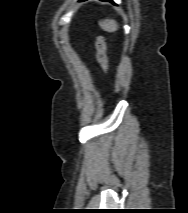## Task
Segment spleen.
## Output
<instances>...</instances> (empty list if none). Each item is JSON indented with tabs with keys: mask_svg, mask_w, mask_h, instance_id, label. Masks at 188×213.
Listing matches in <instances>:
<instances>
[{
	"mask_svg": "<svg viewBox=\"0 0 188 213\" xmlns=\"http://www.w3.org/2000/svg\"><path fill=\"white\" fill-rule=\"evenodd\" d=\"M100 26L107 32H115L118 29V24L115 20L106 19L100 22Z\"/></svg>",
	"mask_w": 188,
	"mask_h": 213,
	"instance_id": "3e777b00",
	"label": "spleen"
}]
</instances>
